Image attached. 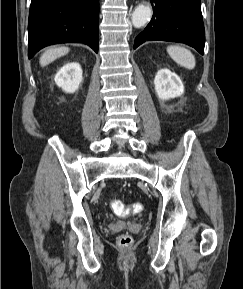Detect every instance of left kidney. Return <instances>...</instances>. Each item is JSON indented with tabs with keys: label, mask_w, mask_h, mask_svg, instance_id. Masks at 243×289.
Returning <instances> with one entry per match:
<instances>
[{
	"label": "left kidney",
	"mask_w": 243,
	"mask_h": 289,
	"mask_svg": "<svg viewBox=\"0 0 243 289\" xmlns=\"http://www.w3.org/2000/svg\"><path fill=\"white\" fill-rule=\"evenodd\" d=\"M154 84L156 94L161 100L179 97L184 93L182 81L169 69L159 70L155 76Z\"/></svg>",
	"instance_id": "obj_1"
}]
</instances>
